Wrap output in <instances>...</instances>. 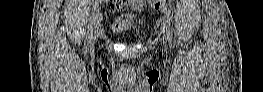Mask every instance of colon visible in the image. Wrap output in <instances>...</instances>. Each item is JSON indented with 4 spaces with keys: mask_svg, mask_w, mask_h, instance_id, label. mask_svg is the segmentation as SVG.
Returning a JSON list of instances; mask_svg holds the SVG:
<instances>
[{
    "mask_svg": "<svg viewBox=\"0 0 263 92\" xmlns=\"http://www.w3.org/2000/svg\"><path fill=\"white\" fill-rule=\"evenodd\" d=\"M149 2L153 3L154 8L160 9L163 4L168 3L170 1H167V0H152V1H149Z\"/></svg>",
    "mask_w": 263,
    "mask_h": 92,
    "instance_id": "obj_1",
    "label": "colon"
}]
</instances>
